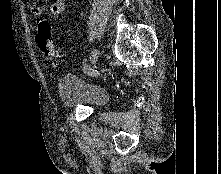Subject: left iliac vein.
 Listing matches in <instances>:
<instances>
[{
	"mask_svg": "<svg viewBox=\"0 0 221 174\" xmlns=\"http://www.w3.org/2000/svg\"><path fill=\"white\" fill-rule=\"evenodd\" d=\"M99 57V51L97 48H94L92 51H91V55H90V61L91 63H95L97 61Z\"/></svg>",
	"mask_w": 221,
	"mask_h": 174,
	"instance_id": "left-iliac-vein-1",
	"label": "left iliac vein"
}]
</instances>
